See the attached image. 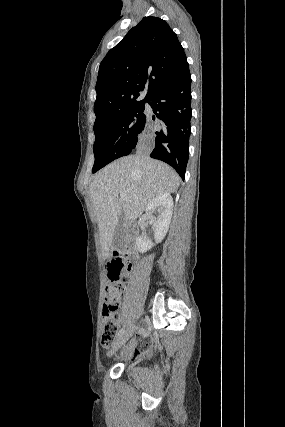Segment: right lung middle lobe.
<instances>
[{"label": "right lung middle lobe", "mask_w": 285, "mask_h": 427, "mask_svg": "<svg viewBox=\"0 0 285 427\" xmlns=\"http://www.w3.org/2000/svg\"><path fill=\"white\" fill-rule=\"evenodd\" d=\"M144 103L127 107L94 126L93 173L113 160L128 155L136 147L147 119Z\"/></svg>", "instance_id": "obj_1"}]
</instances>
